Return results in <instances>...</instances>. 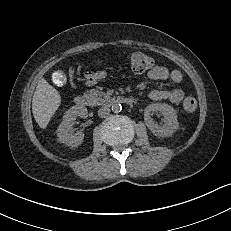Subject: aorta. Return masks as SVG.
<instances>
[{"instance_id":"762f6f07","label":"aorta","mask_w":231,"mask_h":231,"mask_svg":"<svg viewBox=\"0 0 231 231\" xmlns=\"http://www.w3.org/2000/svg\"><path fill=\"white\" fill-rule=\"evenodd\" d=\"M121 110H122V105L119 102L116 101L112 104V111L114 113H119L121 112Z\"/></svg>"}]
</instances>
